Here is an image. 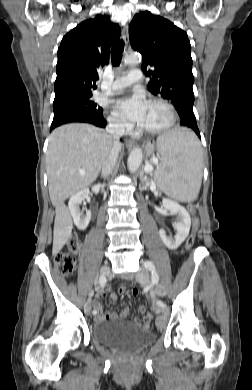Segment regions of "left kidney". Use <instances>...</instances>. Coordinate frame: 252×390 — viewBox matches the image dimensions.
Instances as JSON below:
<instances>
[{"instance_id": "obj_1", "label": "left kidney", "mask_w": 252, "mask_h": 390, "mask_svg": "<svg viewBox=\"0 0 252 390\" xmlns=\"http://www.w3.org/2000/svg\"><path fill=\"white\" fill-rule=\"evenodd\" d=\"M162 204L163 207L171 214L177 215V222L174 224V228L176 229L174 238L168 237L163 229L159 231L160 237L165 246L170 250H175L188 236L191 226V218L186 209L173 200L164 198L162 200Z\"/></svg>"}]
</instances>
